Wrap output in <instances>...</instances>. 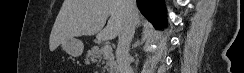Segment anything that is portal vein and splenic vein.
Segmentation results:
<instances>
[{
	"mask_svg": "<svg viewBox=\"0 0 244 73\" xmlns=\"http://www.w3.org/2000/svg\"><path fill=\"white\" fill-rule=\"evenodd\" d=\"M112 51V48L109 46V45H105L104 47H103V52L104 53H109V52H111Z\"/></svg>",
	"mask_w": 244,
	"mask_h": 73,
	"instance_id": "portal-vein-and-splenic-vein-1",
	"label": "portal vein and splenic vein"
}]
</instances>
